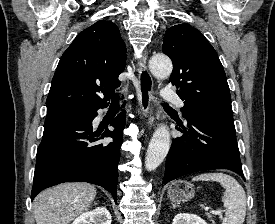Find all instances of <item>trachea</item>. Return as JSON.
Wrapping results in <instances>:
<instances>
[{"instance_id": "obj_1", "label": "trachea", "mask_w": 275, "mask_h": 224, "mask_svg": "<svg viewBox=\"0 0 275 224\" xmlns=\"http://www.w3.org/2000/svg\"><path fill=\"white\" fill-rule=\"evenodd\" d=\"M112 105H113V106H119L118 96H113V97H112ZM162 105L167 106L168 104L163 103Z\"/></svg>"}]
</instances>
